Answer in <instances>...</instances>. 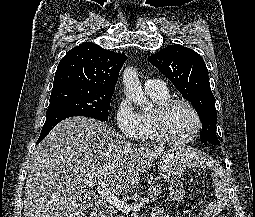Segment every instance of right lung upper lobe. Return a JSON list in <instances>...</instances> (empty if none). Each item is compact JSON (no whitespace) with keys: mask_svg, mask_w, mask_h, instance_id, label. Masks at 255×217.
Returning a JSON list of instances; mask_svg holds the SVG:
<instances>
[{"mask_svg":"<svg viewBox=\"0 0 255 217\" xmlns=\"http://www.w3.org/2000/svg\"><path fill=\"white\" fill-rule=\"evenodd\" d=\"M126 55L85 42L71 49L61 59L53 88L80 85L101 90H114Z\"/></svg>","mask_w":255,"mask_h":217,"instance_id":"right-lung-upper-lobe-1","label":"right lung upper lobe"}]
</instances>
